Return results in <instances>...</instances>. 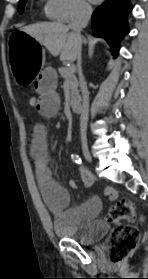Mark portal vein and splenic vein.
Here are the masks:
<instances>
[{
	"label": "portal vein and splenic vein",
	"mask_w": 148,
	"mask_h": 279,
	"mask_svg": "<svg viewBox=\"0 0 148 279\" xmlns=\"http://www.w3.org/2000/svg\"><path fill=\"white\" fill-rule=\"evenodd\" d=\"M75 71V67L73 66V65H71L70 67H69V72H74Z\"/></svg>",
	"instance_id": "18ae733b"
}]
</instances>
